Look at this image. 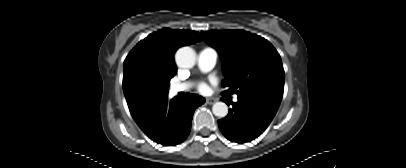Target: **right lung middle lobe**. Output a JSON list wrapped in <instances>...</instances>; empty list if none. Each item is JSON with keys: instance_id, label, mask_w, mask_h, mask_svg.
<instances>
[{"instance_id": "dd1d6c3e", "label": "right lung middle lobe", "mask_w": 406, "mask_h": 168, "mask_svg": "<svg viewBox=\"0 0 406 168\" xmlns=\"http://www.w3.org/2000/svg\"><path fill=\"white\" fill-rule=\"evenodd\" d=\"M169 81L147 79L139 87V94L145 106L153 105L168 97Z\"/></svg>"}]
</instances>
